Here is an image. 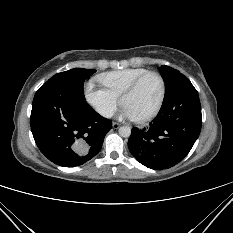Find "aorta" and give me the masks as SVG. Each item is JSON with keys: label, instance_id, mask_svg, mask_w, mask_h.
I'll return each mask as SVG.
<instances>
[{"label": "aorta", "instance_id": "obj_1", "mask_svg": "<svg viewBox=\"0 0 233 233\" xmlns=\"http://www.w3.org/2000/svg\"><path fill=\"white\" fill-rule=\"evenodd\" d=\"M119 135L127 138L131 135V128L129 126H122L119 128Z\"/></svg>", "mask_w": 233, "mask_h": 233}]
</instances>
